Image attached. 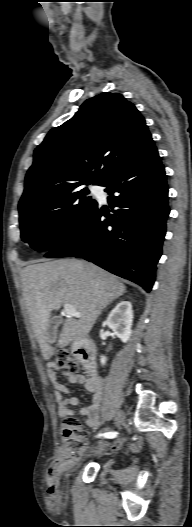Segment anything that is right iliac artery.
Wrapping results in <instances>:
<instances>
[{
  "instance_id": "right-iliac-artery-1",
  "label": "right iliac artery",
  "mask_w": 192,
  "mask_h": 527,
  "mask_svg": "<svg viewBox=\"0 0 192 527\" xmlns=\"http://www.w3.org/2000/svg\"><path fill=\"white\" fill-rule=\"evenodd\" d=\"M117 432H105V433H99L96 437L104 436L105 438H115L117 436Z\"/></svg>"
}]
</instances>
